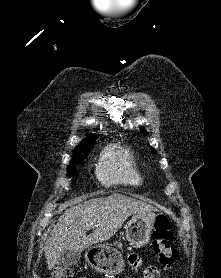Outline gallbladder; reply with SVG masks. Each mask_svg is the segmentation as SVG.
Returning a JSON list of instances; mask_svg holds the SVG:
<instances>
[{"label":"gallbladder","mask_w":221,"mask_h":278,"mask_svg":"<svg viewBox=\"0 0 221 278\" xmlns=\"http://www.w3.org/2000/svg\"><path fill=\"white\" fill-rule=\"evenodd\" d=\"M80 253L70 250L63 251L56 260V265L61 267H70L76 265L80 260Z\"/></svg>","instance_id":"gallbladder-1"}]
</instances>
